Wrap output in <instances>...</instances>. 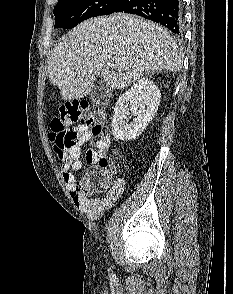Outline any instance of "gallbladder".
Returning a JSON list of instances; mask_svg holds the SVG:
<instances>
[{"label":"gallbladder","instance_id":"gallbladder-1","mask_svg":"<svg viewBox=\"0 0 233 294\" xmlns=\"http://www.w3.org/2000/svg\"><path fill=\"white\" fill-rule=\"evenodd\" d=\"M92 101L96 104H104L110 98V88L104 82L96 85L91 93Z\"/></svg>","mask_w":233,"mask_h":294}]
</instances>
